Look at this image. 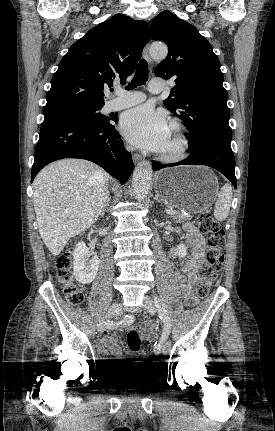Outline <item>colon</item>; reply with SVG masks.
Wrapping results in <instances>:
<instances>
[{"instance_id":"colon-1","label":"colon","mask_w":275,"mask_h":431,"mask_svg":"<svg viewBox=\"0 0 275 431\" xmlns=\"http://www.w3.org/2000/svg\"><path fill=\"white\" fill-rule=\"evenodd\" d=\"M199 230L207 235L206 263L200 268L196 286V294L199 298L207 296L210 286L216 278L217 271L224 261L225 235L223 229L210 213H202L197 219ZM71 252L61 255L56 263V277L61 285L62 293L73 305H80L84 301V292L78 285L72 274ZM127 345L132 352L147 354L152 349L149 341H143L137 331L132 330L127 334ZM156 360L152 359L151 364Z\"/></svg>"}]
</instances>
